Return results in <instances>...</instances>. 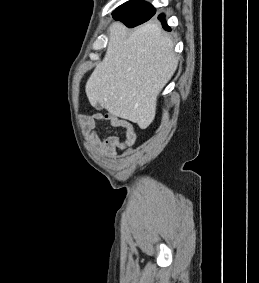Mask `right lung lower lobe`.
<instances>
[{
	"label": "right lung lower lobe",
	"instance_id": "right-lung-lower-lobe-1",
	"mask_svg": "<svg viewBox=\"0 0 259 283\" xmlns=\"http://www.w3.org/2000/svg\"><path fill=\"white\" fill-rule=\"evenodd\" d=\"M154 14L155 9L149 3L132 0L118 7L112 15L115 20L132 28L148 21ZM158 18L162 21L163 28L170 31V27L164 21V15L161 14Z\"/></svg>",
	"mask_w": 259,
	"mask_h": 283
}]
</instances>
